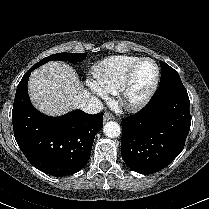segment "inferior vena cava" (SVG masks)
<instances>
[{
  "label": "inferior vena cava",
  "mask_w": 209,
  "mask_h": 209,
  "mask_svg": "<svg viewBox=\"0 0 209 209\" xmlns=\"http://www.w3.org/2000/svg\"><path fill=\"white\" fill-rule=\"evenodd\" d=\"M77 107L88 114H96L103 110V104L96 96L80 100Z\"/></svg>",
  "instance_id": "inferior-vena-cava-1"
}]
</instances>
